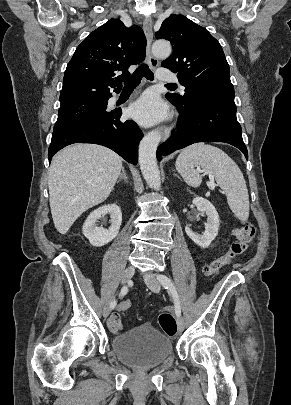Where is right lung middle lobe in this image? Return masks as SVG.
I'll use <instances>...</instances> for the list:
<instances>
[{"mask_svg":"<svg viewBox=\"0 0 291 405\" xmlns=\"http://www.w3.org/2000/svg\"><path fill=\"white\" fill-rule=\"evenodd\" d=\"M108 99H78L61 102L54 130L108 112L106 103Z\"/></svg>","mask_w":291,"mask_h":405,"instance_id":"1","label":"right lung middle lobe"}]
</instances>
